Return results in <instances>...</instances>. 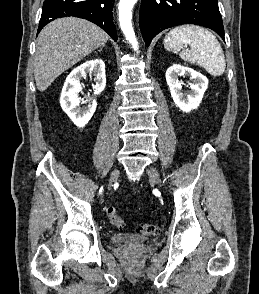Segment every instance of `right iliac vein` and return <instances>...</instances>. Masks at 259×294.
Returning a JSON list of instances; mask_svg holds the SVG:
<instances>
[{"label":"right iliac vein","instance_id":"1","mask_svg":"<svg viewBox=\"0 0 259 294\" xmlns=\"http://www.w3.org/2000/svg\"><path fill=\"white\" fill-rule=\"evenodd\" d=\"M119 170L115 169L112 171L110 179H109V185H108V190H111L113 184L117 181L118 177H119Z\"/></svg>","mask_w":259,"mask_h":294}]
</instances>
